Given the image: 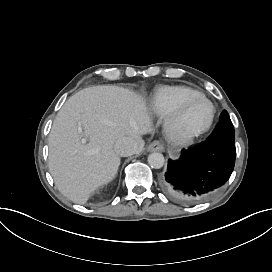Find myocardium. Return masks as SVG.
Instances as JSON below:
<instances>
[{
	"label": "myocardium",
	"instance_id": "obj_1",
	"mask_svg": "<svg viewBox=\"0 0 272 272\" xmlns=\"http://www.w3.org/2000/svg\"><path fill=\"white\" fill-rule=\"evenodd\" d=\"M197 98L205 100L210 105L211 116H210V119H209L208 123L205 126L201 127V128L183 129L179 124V118L174 116L170 120V122H171L170 129H171V132L173 133V135H175L176 137L184 138V137L198 136V135H200L202 133L207 132L212 127V125H213V123L215 121V118H216V106L212 102L211 99H209L207 96H205L202 93H199V94H197L195 96H192V97L185 98L184 100H182L179 103V105L176 107V109L174 111H178V113H182L184 108Z\"/></svg>",
	"mask_w": 272,
	"mask_h": 272
}]
</instances>
